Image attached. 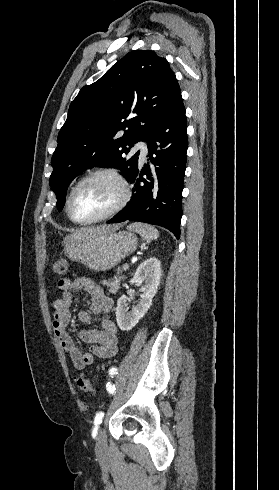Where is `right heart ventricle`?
Here are the masks:
<instances>
[{
	"instance_id": "1",
	"label": "right heart ventricle",
	"mask_w": 279,
	"mask_h": 490,
	"mask_svg": "<svg viewBox=\"0 0 279 490\" xmlns=\"http://www.w3.org/2000/svg\"><path fill=\"white\" fill-rule=\"evenodd\" d=\"M70 192H71V189L69 190V192L67 194V198H66V202H65V213L69 219L71 218L69 215V208H68Z\"/></svg>"
}]
</instances>
